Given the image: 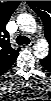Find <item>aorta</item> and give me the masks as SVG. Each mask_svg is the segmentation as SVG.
Listing matches in <instances>:
<instances>
[{"mask_svg":"<svg viewBox=\"0 0 51 101\" xmlns=\"http://www.w3.org/2000/svg\"><path fill=\"white\" fill-rule=\"evenodd\" d=\"M17 23L22 31L31 33L36 30V21L30 14H20L17 17ZM48 50V43L45 40H41L36 43L34 47V54L38 58H44L47 56Z\"/></svg>","mask_w":51,"mask_h":101,"instance_id":"aorta-1","label":"aorta"}]
</instances>
